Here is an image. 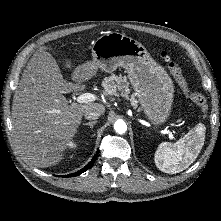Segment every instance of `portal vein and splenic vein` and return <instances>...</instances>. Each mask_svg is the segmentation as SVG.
<instances>
[{"label":"portal vein and splenic vein","mask_w":221,"mask_h":221,"mask_svg":"<svg viewBox=\"0 0 221 221\" xmlns=\"http://www.w3.org/2000/svg\"><path fill=\"white\" fill-rule=\"evenodd\" d=\"M97 100V96L92 93H84L77 97L78 103H87V102H93ZM167 133L169 134L170 139H174L173 133L174 131H171L170 129H166Z\"/></svg>","instance_id":"18ae733b"}]
</instances>
